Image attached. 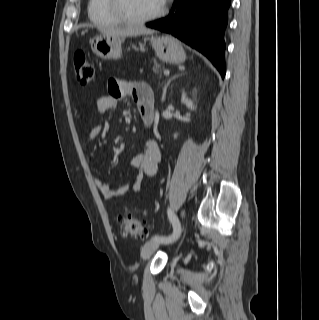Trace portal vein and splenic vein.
Masks as SVG:
<instances>
[{
  "label": "portal vein and splenic vein",
  "instance_id": "1",
  "mask_svg": "<svg viewBox=\"0 0 319 320\" xmlns=\"http://www.w3.org/2000/svg\"><path fill=\"white\" fill-rule=\"evenodd\" d=\"M169 73H170V72H169L168 70H165V71H164V75H166V76H168Z\"/></svg>",
  "mask_w": 319,
  "mask_h": 320
}]
</instances>
